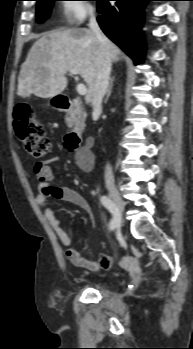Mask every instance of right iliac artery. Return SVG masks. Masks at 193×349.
I'll use <instances>...</instances> for the list:
<instances>
[{"mask_svg": "<svg viewBox=\"0 0 193 349\" xmlns=\"http://www.w3.org/2000/svg\"><path fill=\"white\" fill-rule=\"evenodd\" d=\"M100 201L102 203V205L111 213L112 217H111V222L109 224V229L113 230L115 229V227L117 226V214H116V207L114 205V203L111 201L110 198H108L107 196H102L100 198Z\"/></svg>", "mask_w": 193, "mask_h": 349, "instance_id": "82829eb1", "label": "right iliac artery"}]
</instances>
